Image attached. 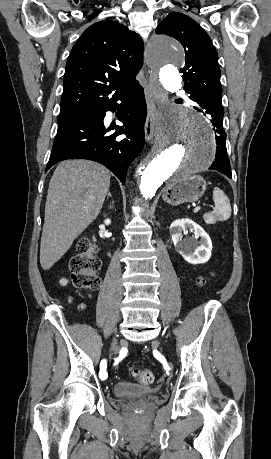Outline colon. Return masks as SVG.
Wrapping results in <instances>:
<instances>
[{
  "label": "colon",
  "instance_id": "obj_1",
  "mask_svg": "<svg viewBox=\"0 0 271 459\" xmlns=\"http://www.w3.org/2000/svg\"><path fill=\"white\" fill-rule=\"evenodd\" d=\"M78 3L79 0H72ZM97 246L88 238H81L76 247V254L71 258L69 268L74 286L82 292L95 291L100 285L97 272L101 262L96 255ZM199 284L204 283V279L198 280ZM131 375L143 385H151L154 382V374L146 368L133 367Z\"/></svg>",
  "mask_w": 271,
  "mask_h": 459
}]
</instances>
